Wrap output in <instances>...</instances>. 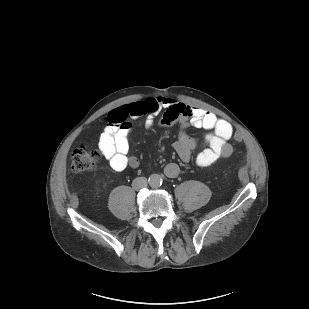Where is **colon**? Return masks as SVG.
<instances>
[{
	"mask_svg": "<svg viewBox=\"0 0 309 309\" xmlns=\"http://www.w3.org/2000/svg\"><path fill=\"white\" fill-rule=\"evenodd\" d=\"M233 138L240 140L241 136L235 133ZM99 157V153L95 149L83 145L79 146L71 155V170L77 174L91 171L94 169Z\"/></svg>",
	"mask_w": 309,
	"mask_h": 309,
	"instance_id": "obj_1",
	"label": "colon"
}]
</instances>
